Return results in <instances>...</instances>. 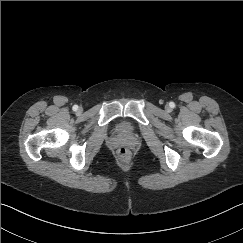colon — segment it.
<instances>
[{
    "mask_svg": "<svg viewBox=\"0 0 243 243\" xmlns=\"http://www.w3.org/2000/svg\"><path fill=\"white\" fill-rule=\"evenodd\" d=\"M117 155H118V158L122 162H124V163H128L129 162L130 155H129V152L127 151L126 148H124V147L119 148L118 152H117Z\"/></svg>",
    "mask_w": 243,
    "mask_h": 243,
    "instance_id": "colon-1",
    "label": "colon"
}]
</instances>
